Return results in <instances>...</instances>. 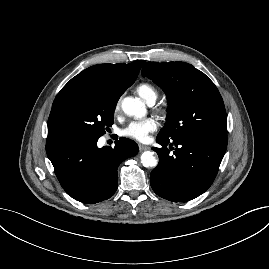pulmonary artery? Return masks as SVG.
Wrapping results in <instances>:
<instances>
[{"label": "pulmonary artery", "mask_w": 269, "mask_h": 269, "mask_svg": "<svg viewBox=\"0 0 269 269\" xmlns=\"http://www.w3.org/2000/svg\"><path fill=\"white\" fill-rule=\"evenodd\" d=\"M154 102H150L149 104L152 105Z\"/></svg>", "instance_id": "obj_1"}]
</instances>
